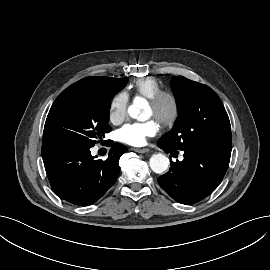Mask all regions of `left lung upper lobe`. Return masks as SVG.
Returning <instances> with one entry per match:
<instances>
[{
	"instance_id": "obj_1",
	"label": "left lung upper lobe",
	"mask_w": 270,
	"mask_h": 270,
	"mask_svg": "<svg viewBox=\"0 0 270 270\" xmlns=\"http://www.w3.org/2000/svg\"><path fill=\"white\" fill-rule=\"evenodd\" d=\"M178 118L158 143L174 150L196 144L232 146L231 126L218 95L208 86L183 76L172 77Z\"/></svg>"
}]
</instances>
